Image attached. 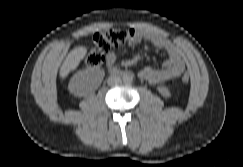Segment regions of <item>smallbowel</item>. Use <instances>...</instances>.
<instances>
[{
    "mask_svg": "<svg viewBox=\"0 0 243 167\" xmlns=\"http://www.w3.org/2000/svg\"><path fill=\"white\" fill-rule=\"evenodd\" d=\"M150 43L154 47L164 51L167 59L160 68L144 67L140 70L139 76L150 84H158L178 78L185 70V63L180 49L170 40L160 34L143 29H131L130 46L139 43ZM117 60L115 52H109L106 55V63L113 66Z\"/></svg>",
    "mask_w": 243,
    "mask_h": 167,
    "instance_id": "small-bowel-1",
    "label": "small bowel"
}]
</instances>
